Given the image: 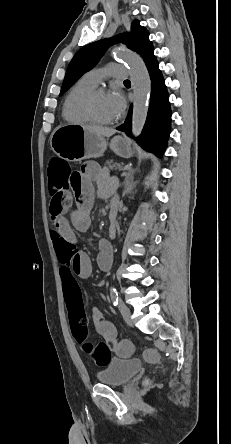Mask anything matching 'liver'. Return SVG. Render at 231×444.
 <instances>
[{
	"instance_id": "liver-1",
	"label": "liver",
	"mask_w": 231,
	"mask_h": 444,
	"mask_svg": "<svg viewBox=\"0 0 231 444\" xmlns=\"http://www.w3.org/2000/svg\"><path fill=\"white\" fill-rule=\"evenodd\" d=\"M82 127L103 138L110 137L116 132L114 129L99 126L83 125Z\"/></svg>"
}]
</instances>
